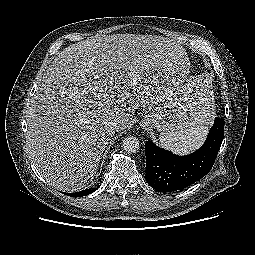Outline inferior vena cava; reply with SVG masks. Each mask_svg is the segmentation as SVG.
<instances>
[{"label":"inferior vena cava","mask_w":255,"mask_h":255,"mask_svg":"<svg viewBox=\"0 0 255 255\" xmlns=\"http://www.w3.org/2000/svg\"><path fill=\"white\" fill-rule=\"evenodd\" d=\"M118 125H119V120H118V119H113V120L109 121V123H108V126H109V128H110L112 131L115 130V129H117V128H118Z\"/></svg>","instance_id":"inferior-vena-cava-1"}]
</instances>
